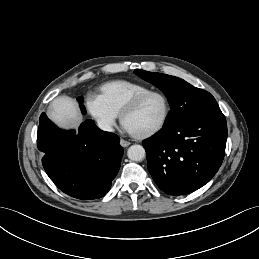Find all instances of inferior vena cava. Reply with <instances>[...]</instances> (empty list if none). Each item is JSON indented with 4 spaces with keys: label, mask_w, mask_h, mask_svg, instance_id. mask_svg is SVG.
I'll return each mask as SVG.
<instances>
[{
    "label": "inferior vena cava",
    "mask_w": 259,
    "mask_h": 259,
    "mask_svg": "<svg viewBox=\"0 0 259 259\" xmlns=\"http://www.w3.org/2000/svg\"><path fill=\"white\" fill-rule=\"evenodd\" d=\"M97 123H98V127H99L101 130H103V131H108V132H112V131H113V128H112L111 124L108 123L107 121L98 120Z\"/></svg>",
    "instance_id": "inferior-vena-cava-1"
}]
</instances>
